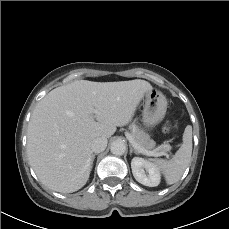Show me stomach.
<instances>
[{
    "label": "stomach",
    "mask_w": 229,
    "mask_h": 229,
    "mask_svg": "<svg viewBox=\"0 0 229 229\" xmlns=\"http://www.w3.org/2000/svg\"><path fill=\"white\" fill-rule=\"evenodd\" d=\"M167 110V100L157 89H152L145 94L142 121L145 128L150 129L158 125L164 118ZM148 135V134H147ZM150 138V136L148 135ZM155 142L151 143L154 147Z\"/></svg>",
    "instance_id": "1"
}]
</instances>
